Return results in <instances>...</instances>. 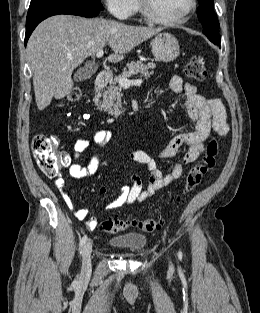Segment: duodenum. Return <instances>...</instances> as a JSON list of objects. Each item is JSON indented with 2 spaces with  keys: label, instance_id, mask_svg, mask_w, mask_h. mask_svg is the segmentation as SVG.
<instances>
[{
  "label": "duodenum",
  "instance_id": "obj_1",
  "mask_svg": "<svg viewBox=\"0 0 260 313\" xmlns=\"http://www.w3.org/2000/svg\"><path fill=\"white\" fill-rule=\"evenodd\" d=\"M108 84V76L106 72L102 71L97 74L94 86L92 90V97H96L100 90H102L104 87H106Z\"/></svg>",
  "mask_w": 260,
  "mask_h": 313
}]
</instances>
